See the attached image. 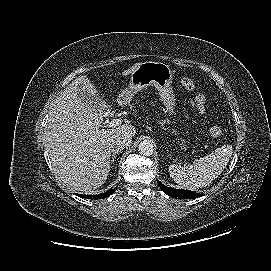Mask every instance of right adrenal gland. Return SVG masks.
<instances>
[{
  "label": "right adrenal gland",
  "mask_w": 271,
  "mask_h": 271,
  "mask_svg": "<svg viewBox=\"0 0 271 271\" xmlns=\"http://www.w3.org/2000/svg\"><path fill=\"white\" fill-rule=\"evenodd\" d=\"M121 150H123V148H116V149H113V153H112V156H111V163L114 162L115 158H116V155H118Z\"/></svg>",
  "instance_id": "1"
}]
</instances>
